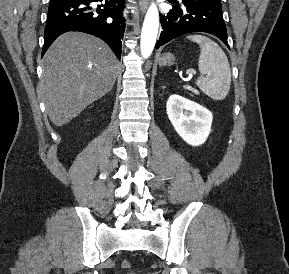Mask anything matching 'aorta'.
Instances as JSON below:
<instances>
[{"mask_svg": "<svg viewBox=\"0 0 289 274\" xmlns=\"http://www.w3.org/2000/svg\"><path fill=\"white\" fill-rule=\"evenodd\" d=\"M159 28V13L157 7L152 4L145 16L141 33V54L148 58L155 46Z\"/></svg>", "mask_w": 289, "mask_h": 274, "instance_id": "obj_1", "label": "aorta"}]
</instances>
